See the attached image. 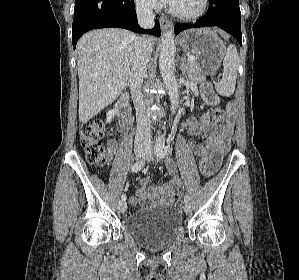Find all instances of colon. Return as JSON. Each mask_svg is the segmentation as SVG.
Masks as SVG:
<instances>
[{
    "mask_svg": "<svg viewBox=\"0 0 299 280\" xmlns=\"http://www.w3.org/2000/svg\"><path fill=\"white\" fill-rule=\"evenodd\" d=\"M204 119L210 120L216 126H220L225 120L224 111L215 107L209 111ZM103 130L101 123L97 121H87L80 127V143L85 152L87 161L96 167H103L107 164L108 155L102 145ZM209 163L206 159H200V169L202 172H208ZM175 209L180 211L183 207L181 201L174 205Z\"/></svg>",
    "mask_w": 299,
    "mask_h": 280,
    "instance_id": "colon-1",
    "label": "colon"
}]
</instances>
